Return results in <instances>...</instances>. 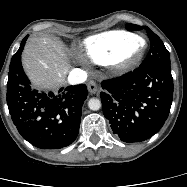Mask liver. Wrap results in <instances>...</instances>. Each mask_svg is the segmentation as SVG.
Here are the masks:
<instances>
[{
  "label": "liver",
  "mask_w": 187,
  "mask_h": 187,
  "mask_svg": "<svg viewBox=\"0 0 187 187\" xmlns=\"http://www.w3.org/2000/svg\"><path fill=\"white\" fill-rule=\"evenodd\" d=\"M22 63L34 87L42 90L56 89L64 84L71 67L64 44L46 35L28 40Z\"/></svg>",
  "instance_id": "6515ba94"
}]
</instances>
